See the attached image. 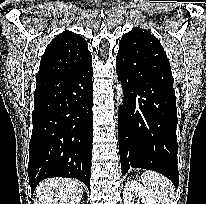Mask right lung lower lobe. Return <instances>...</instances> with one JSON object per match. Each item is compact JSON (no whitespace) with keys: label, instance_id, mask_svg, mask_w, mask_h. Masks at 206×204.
<instances>
[{"label":"right lung lower lobe","instance_id":"98d812e1","mask_svg":"<svg viewBox=\"0 0 206 204\" xmlns=\"http://www.w3.org/2000/svg\"><path fill=\"white\" fill-rule=\"evenodd\" d=\"M92 60L70 73L37 82L29 144L32 192L51 177H71L90 189L93 142Z\"/></svg>","mask_w":206,"mask_h":204}]
</instances>
